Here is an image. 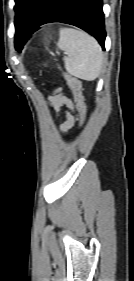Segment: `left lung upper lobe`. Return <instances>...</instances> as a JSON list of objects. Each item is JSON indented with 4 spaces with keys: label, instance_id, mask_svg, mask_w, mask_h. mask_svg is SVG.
Segmentation results:
<instances>
[{
    "label": "left lung upper lobe",
    "instance_id": "left-lung-upper-lobe-1",
    "mask_svg": "<svg viewBox=\"0 0 134 281\" xmlns=\"http://www.w3.org/2000/svg\"><path fill=\"white\" fill-rule=\"evenodd\" d=\"M42 0H15V28L24 29Z\"/></svg>",
    "mask_w": 134,
    "mask_h": 281
}]
</instances>
